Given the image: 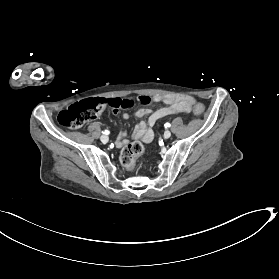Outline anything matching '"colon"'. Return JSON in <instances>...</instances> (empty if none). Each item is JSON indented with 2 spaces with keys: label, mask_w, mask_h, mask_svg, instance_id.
I'll list each match as a JSON object with an SVG mask.
<instances>
[{
  "label": "colon",
  "mask_w": 279,
  "mask_h": 279,
  "mask_svg": "<svg viewBox=\"0 0 279 279\" xmlns=\"http://www.w3.org/2000/svg\"><path fill=\"white\" fill-rule=\"evenodd\" d=\"M154 99L149 96H138L136 98H94L75 103L62 110L58 115V121L68 128H79L86 122L93 120L101 114L106 107L114 109H129L136 104L149 105ZM204 106L197 103L193 107L196 116L202 115ZM144 152L140 142H133L123 149L120 157L122 165L126 169L133 167L135 160Z\"/></svg>",
  "instance_id": "colon-1"
}]
</instances>
